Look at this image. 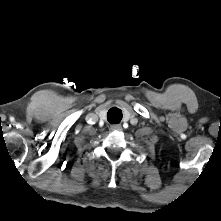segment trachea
<instances>
[{
    "label": "trachea",
    "mask_w": 221,
    "mask_h": 221,
    "mask_svg": "<svg viewBox=\"0 0 221 221\" xmlns=\"http://www.w3.org/2000/svg\"><path fill=\"white\" fill-rule=\"evenodd\" d=\"M107 119L111 124L119 123L122 119V111L113 107L108 111Z\"/></svg>",
    "instance_id": "trachea-1"
}]
</instances>
